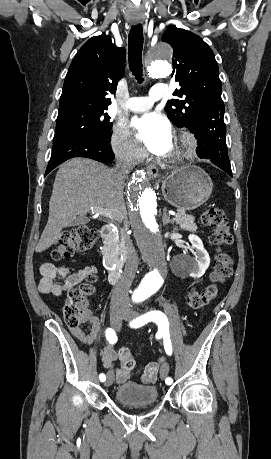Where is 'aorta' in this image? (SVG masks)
<instances>
[{
	"label": "aorta",
	"instance_id": "762f6f07",
	"mask_svg": "<svg viewBox=\"0 0 271 459\" xmlns=\"http://www.w3.org/2000/svg\"><path fill=\"white\" fill-rule=\"evenodd\" d=\"M172 49L160 43L152 52L148 65V75L153 78L169 76ZM191 151L185 156L189 158ZM128 193L129 219L136 244L150 271L143 278L140 289L145 294H154L163 285V273L167 261L165 245L157 221V197L155 191L146 184V173L138 170L133 174Z\"/></svg>",
	"mask_w": 271,
	"mask_h": 459
}]
</instances>
